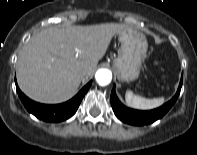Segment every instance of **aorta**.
<instances>
[{
    "label": "aorta",
    "instance_id": "obj_1",
    "mask_svg": "<svg viewBox=\"0 0 197 155\" xmlns=\"http://www.w3.org/2000/svg\"><path fill=\"white\" fill-rule=\"evenodd\" d=\"M95 79L98 85L106 86L112 80V73L108 69H99L95 74Z\"/></svg>",
    "mask_w": 197,
    "mask_h": 155
}]
</instances>
